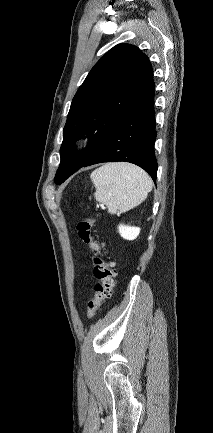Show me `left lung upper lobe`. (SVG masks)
I'll list each match as a JSON object with an SVG mask.
<instances>
[{
  "label": "left lung upper lobe",
  "instance_id": "5c2ea615",
  "mask_svg": "<svg viewBox=\"0 0 213 433\" xmlns=\"http://www.w3.org/2000/svg\"><path fill=\"white\" fill-rule=\"evenodd\" d=\"M151 74L148 57L134 45L118 44L100 58L71 103L55 183L64 182L92 158ZM85 135L92 142L76 151L74 143Z\"/></svg>",
  "mask_w": 213,
  "mask_h": 433
}]
</instances>
